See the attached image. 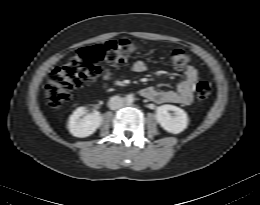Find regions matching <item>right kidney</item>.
Masks as SVG:
<instances>
[{
  "label": "right kidney",
  "instance_id": "right-kidney-1",
  "mask_svg": "<svg viewBox=\"0 0 260 205\" xmlns=\"http://www.w3.org/2000/svg\"><path fill=\"white\" fill-rule=\"evenodd\" d=\"M102 116L98 111L87 114L85 107L76 109L69 118V132L79 138L93 134L101 125Z\"/></svg>",
  "mask_w": 260,
  "mask_h": 205
}]
</instances>
